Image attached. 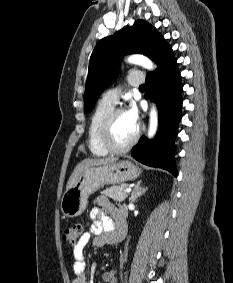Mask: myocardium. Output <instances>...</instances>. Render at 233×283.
Listing matches in <instances>:
<instances>
[{"instance_id": "f54148a6", "label": "myocardium", "mask_w": 233, "mask_h": 283, "mask_svg": "<svg viewBox=\"0 0 233 283\" xmlns=\"http://www.w3.org/2000/svg\"><path fill=\"white\" fill-rule=\"evenodd\" d=\"M122 112H125L124 108H121V107L113 108L111 112L107 115L101 127V130H100L101 145L109 153L120 154V153L127 152L136 144L140 136L141 128L137 124L136 132L134 136L126 145L116 146L113 144L112 139H111L112 127H113L116 117Z\"/></svg>"}]
</instances>
